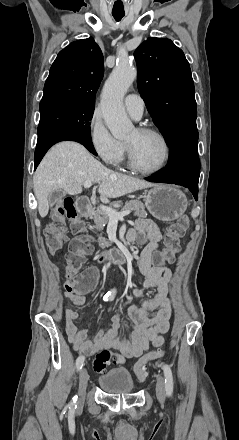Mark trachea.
Instances as JSON below:
<instances>
[{"label": "trachea", "instance_id": "1", "mask_svg": "<svg viewBox=\"0 0 239 440\" xmlns=\"http://www.w3.org/2000/svg\"><path fill=\"white\" fill-rule=\"evenodd\" d=\"M113 17L115 18L116 21H120L125 14L123 13H112Z\"/></svg>", "mask_w": 239, "mask_h": 440}]
</instances>
